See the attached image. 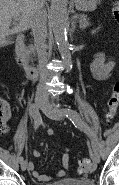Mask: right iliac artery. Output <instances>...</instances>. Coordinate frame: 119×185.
Listing matches in <instances>:
<instances>
[{
    "mask_svg": "<svg viewBox=\"0 0 119 185\" xmlns=\"http://www.w3.org/2000/svg\"><path fill=\"white\" fill-rule=\"evenodd\" d=\"M30 113H31V115H30V118H33V121H34V129L35 130H37V128L39 127V125L41 124V121H40V118H39V116H40V113H37V109H36V107H35V104H32L31 106H30ZM24 159H23V157L21 156V157H19V162H22Z\"/></svg>",
    "mask_w": 119,
    "mask_h": 185,
    "instance_id": "right-iliac-artery-1",
    "label": "right iliac artery"
}]
</instances>
